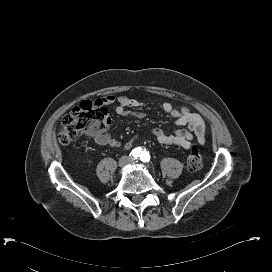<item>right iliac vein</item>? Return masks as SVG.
I'll return each mask as SVG.
<instances>
[{
	"label": "right iliac vein",
	"mask_w": 272,
	"mask_h": 272,
	"mask_svg": "<svg viewBox=\"0 0 272 272\" xmlns=\"http://www.w3.org/2000/svg\"><path fill=\"white\" fill-rule=\"evenodd\" d=\"M128 163H129V158L126 157V156L121 157L120 160H119V165L121 167L126 166Z\"/></svg>",
	"instance_id": "right-iliac-vein-1"
}]
</instances>
